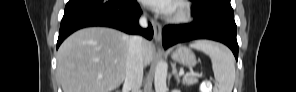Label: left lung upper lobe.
<instances>
[{
  "mask_svg": "<svg viewBox=\"0 0 296 92\" xmlns=\"http://www.w3.org/2000/svg\"><path fill=\"white\" fill-rule=\"evenodd\" d=\"M194 6L202 11L203 9H212L215 7H231L230 0H191Z\"/></svg>",
  "mask_w": 296,
  "mask_h": 92,
  "instance_id": "obj_1",
  "label": "left lung upper lobe"
}]
</instances>
